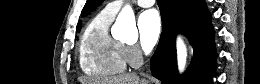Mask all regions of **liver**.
<instances>
[{
  "mask_svg": "<svg viewBox=\"0 0 260 84\" xmlns=\"http://www.w3.org/2000/svg\"><path fill=\"white\" fill-rule=\"evenodd\" d=\"M87 84H148V81L140 80L136 74L119 75L99 80H86Z\"/></svg>",
  "mask_w": 260,
  "mask_h": 84,
  "instance_id": "6515ba94",
  "label": "liver"
}]
</instances>
